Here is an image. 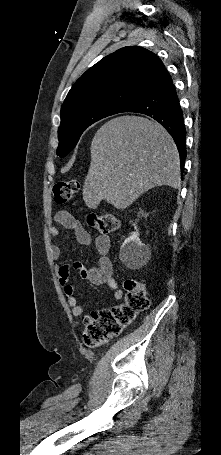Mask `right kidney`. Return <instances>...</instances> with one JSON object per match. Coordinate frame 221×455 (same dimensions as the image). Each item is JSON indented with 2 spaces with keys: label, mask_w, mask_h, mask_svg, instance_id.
Masks as SVG:
<instances>
[{
  "label": "right kidney",
  "mask_w": 221,
  "mask_h": 455,
  "mask_svg": "<svg viewBox=\"0 0 221 455\" xmlns=\"http://www.w3.org/2000/svg\"><path fill=\"white\" fill-rule=\"evenodd\" d=\"M136 231L132 232L124 240L120 247L119 257L121 261L129 268H135L148 258L149 248L140 241L136 225L133 224Z\"/></svg>",
  "instance_id": "right-kidney-1"
}]
</instances>
